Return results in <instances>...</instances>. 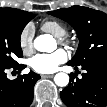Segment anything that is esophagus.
<instances>
[{
    "label": "esophagus",
    "instance_id": "34e87169",
    "mask_svg": "<svg viewBox=\"0 0 107 107\" xmlns=\"http://www.w3.org/2000/svg\"><path fill=\"white\" fill-rule=\"evenodd\" d=\"M54 75L53 74H42V78H52Z\"/></svg>",
    "mask_w": 107,
    "mask_h": 107
}]
</instances>
